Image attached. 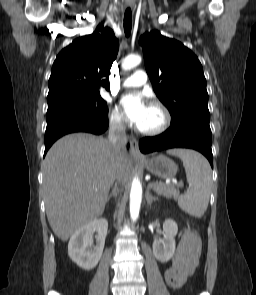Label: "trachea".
<instances>
[{
    "label": "trachea",
    "mask_w": 256,
    "mask_h": 295,
    "mask_svg": "<svg viewBox=\"0 0 256 295\" xmlns=\"http://www.w3.org/2000/svg\"><path fill=\"white\" fill-rule=\"evenodd\" d=\"M132 28V12L130 8H127L124 14V32L126 37L130 36Z\"/></svg>",
    "instance_id": "3493384b"
}]
</instances>
